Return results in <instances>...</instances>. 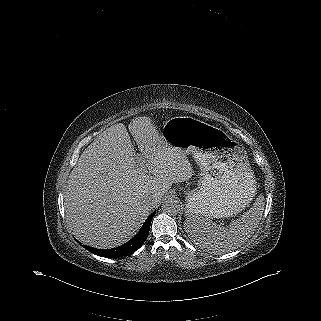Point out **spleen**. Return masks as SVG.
<instances>
[{"label": "spleen", "mask_w": 321, "mask_h": 321, "mask_svg": "<svg viewBox=\"0 0 321 321\" xmlns=\"http://www.w3.org/2000/svg\"><path fill=\"white\" fill-rule=\"evenodd\" d=\"M265 207L264 196L259 195L253 206L228 226L218 227L209 219L188 216L184 229L200 248L223 254L243 245L256 231Z\"/></svg>", "instance_id": "3e777b00"}]
</instances>
